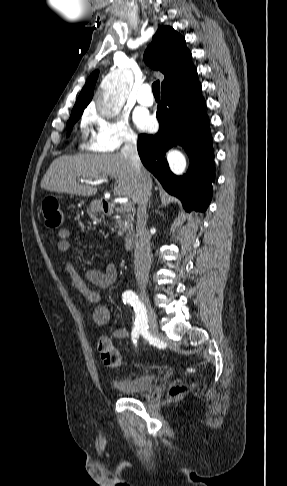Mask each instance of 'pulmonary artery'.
Returning <instances> with one entry per match:
<instances>
[{"label": "pulmonary artery", "instance_id": "e3ab8cb5", "mask_svg": "<svg viewBox=\"0 0 287 486\" xmlns=\"http://www.w3.org/2000/svg\"><path fill=\"white\" fill-rule=\"evenodd\" d=\"M138 103L144 106H151L154 103V97L151 93L149 84H143L136 95Z\"/></svg>", "mask_w": 287, "mask_h": 486}]
</instances>
